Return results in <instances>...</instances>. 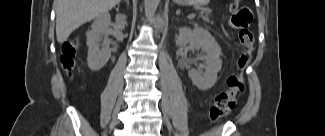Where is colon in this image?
I'll use <instances>...</instances> for the list:
<instances>
[{
	"label": "colon",
	"instance_id": "1",
	"mask_svg": "<svg viewBox=\"0 0 325 136\" xmlns=\"http://www.w3.org/2000/svg\"><path fill=\"white\" fill-rule=\"evenodd\" d=\"M239 0H233L231 11L233 12L232 24L238 30L239 43L243 48V54L239 59V67L243 69L249 62L254 49V35L249 29L252 20L250 11L240 8ZM76 48L74 44H66L62 48L61 64L65 70L71 72L76 67ZM245 90V83L242 74L232 75L227 80V89L217 95L210 110L212 121H218L228 114L236 104L237 96Z\"/></svg>",
	"mask_w": 325,
	"mask_h": 136
}]
</instances>
